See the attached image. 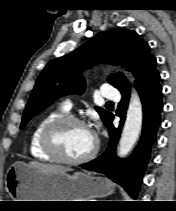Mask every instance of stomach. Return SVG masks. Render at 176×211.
Wrapping results in <instances>:
<instances>
[{
    "instance_id": "0dacf381",
    "label": "stomach",
    "mask_w": 176,
    "mask_h": 211,
    "mask_svg": "<svg viewBox=\"0 0 176 211\" xmlns=\"http://www.w3.org/2000/svg\"><path fill=\"white\" fill-rule=\"evenodd\" d=\"M5 186L14 201H88L113 193L111 182L102 177L76 172L42 171L23 162L12 164Z\"/></svg>"
}]
</instances>
